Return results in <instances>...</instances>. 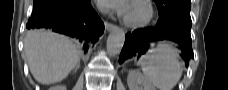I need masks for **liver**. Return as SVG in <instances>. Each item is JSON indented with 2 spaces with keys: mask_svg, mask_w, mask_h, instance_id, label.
Instances as JSON below:
<instances>
[{
  "mask_svg": "<svg viewBox=\"0 0 228 90\" xmlns=\"http://www.w3.org/2000/svg\"><path fill=\"white\" fill-rule=\"evenodd\" d=\"M24 52L33 77L41 84L62 81L79 60L77 48L69 38L43 30L27 33Z\"/></svg>",
  "mask_w": 228,
  "mask_h": 90,
  "instance_id": "liver-1",
  "label": "liver"
}]
</instances>
